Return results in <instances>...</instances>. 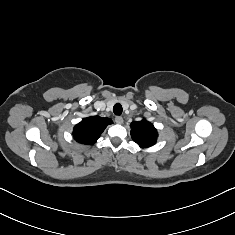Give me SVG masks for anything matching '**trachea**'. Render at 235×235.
Wrapping results in <instances>:
<instances>
[{"label": "trachea", "mask_w": 235, "mask_h": 235, "mask_svg": "<svg viewBox=\"0 0 235 235\" xmlns=\"http://www.w3.org/2000/svg\"><path fill=\"white\" fill-rule=\"evenodd\" d=\"M122 111H123V108H122L121 104L117 103L114 105L113 112L115 115H121Z\"/></svg>", "instance_id": "3493384b"}]
</instances>
